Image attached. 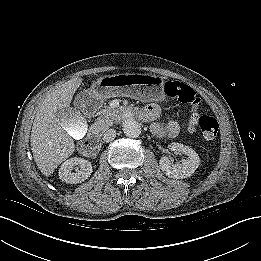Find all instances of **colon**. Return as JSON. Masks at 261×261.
Wrapping results in <instances>:
<instances>
[{
  "label": "colon",
  "instance_id": "colon-1",
  "mask_svg": "<svg viewBox=\"0 0 261 261\" xmlns=\"http://www.w3.org/2000/svg\"><path fill=\"white\" fill-rule=\"evenodd\" d=\"M165 92L170 98L191 106L190 130L194 131L198 126L204 140L209 144L213 143L218 135V123L211 116L200 115L201 99L195 91L185 83L169 81L165 85Z\"/></svg>",
  "mask_w": 261,
  "mask_h": 261
}]
</instances>
